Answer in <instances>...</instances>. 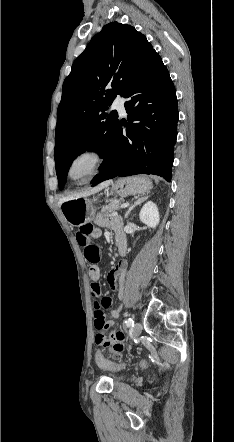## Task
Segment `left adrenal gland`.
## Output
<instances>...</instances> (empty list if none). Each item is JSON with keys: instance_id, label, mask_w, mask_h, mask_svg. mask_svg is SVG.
<instances>
[{"instance_id": "left-adrenal-gland-1", "label": "left adrenal gland", "mask_w": 234, "mask_h": 442, "mask_svg": "<svg viewBox=\"0 0 234 442\" xmlns=\"http://www.w3.org/2000/svg\"><path fill=\"white\" fill-rule=\"evenodd\" d=\"M149 196H145L142 198H139L137 201L134 202L133 205H131L129 207V209L127 210L126 214H125V219L128 218V215L130 214V212L139 204H141L142 202H144L146 199H148Z\"/></svg>"}]
</instances>
